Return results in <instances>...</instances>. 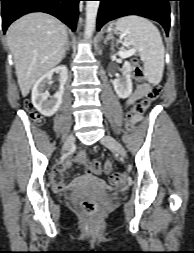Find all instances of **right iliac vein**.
I'll use <instances>...</instances> for the list:
<instances>
[{
	"label": "right iliac vein",
	"instance_id": "1",
	"mask_svg": "<svg viewBox=\"0 0 194 253\" xmlns=\"http://www.w3.org/2000/svg\"><path fill=\"white\" fill-rule=\"evenodd\" d=\"M74 142H75V137L73 134H70L63 145L62 152L69 150L74 145Z\"/></svg>",
	"mask_w": 194,
	"mask_h": 253
}]
</instances>
